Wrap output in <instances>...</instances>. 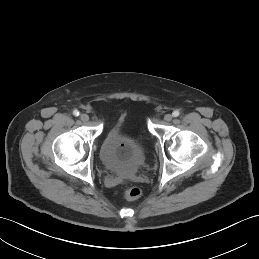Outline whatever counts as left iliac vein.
Instances as JSON below:
<instances>
[{
    "mask_svg": "<svg viewBox=\"0 0 259 259\" xmlns=\"http://www.w3.org/2000/svg\"><path fill=\"white\" fill-rule=\"evenodd\" d=\"M173 116L171 114H166L164 116V120L167 121V122H170L172 120Z\"/></svg>",
    "mask_w": 259,
    "mask_h": 259,
    "instance_id": "left-iliac-vein-1",
    "label": "left iliac vein"
}]
</instances>
